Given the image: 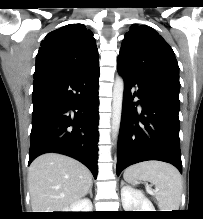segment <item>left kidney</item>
Listing matches in <instances>:
<instances>
[{"instance_id": "obj_1", "label": "left kidney", "mask_w": 203, "mask_h": 219, "mask_svg": "<svg viewBox=\"0 0 203 219\" xmlns=\"http://www.w3.org/2000/svg\"><path fill=\"white\" fill-rule=\"evenodd\" d=\"M121 200L125 211H155L151 201L140 190L131 186L121 189Z\"/></svg>"}]
</instances>
